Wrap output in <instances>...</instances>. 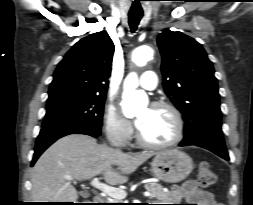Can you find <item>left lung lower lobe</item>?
<instances>
[{
	"instance_id": "0a47b994",
	"label": "left lung lower lobe",
	"mask_w": 253,
	"mask_h": 205,
	"mask_svg": "<svg viewBox=\"0 0 253 205\" xmlns=\"http://www.w3.org/2000/svg\"><path fill=\"white\" fill-rule=\"evenodd\" d=\"M187 145H195L205 148L215 153L216 155L224 158L225 160L229 161L228 152L222 135L205 134L191 143L181 142L179 144V146H187Z\"/></svg>"
}]
</instances>
